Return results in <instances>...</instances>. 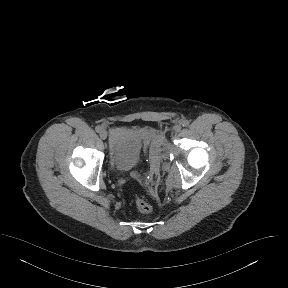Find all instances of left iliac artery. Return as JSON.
<instances>
[{
  "label": "left iliac artery",
  "instance_id": "obj_1",
  "mask_svg": "<svg viewBox=\"0 0 288 288\" xmlns=\"http://www.w3.org/2000/svg\"><path fill=\"white\" fill-rule=\"evenodd\" d=\"M181 124H182L183 127H187L190 124V121L189 120H183L181 122Z\"/></svg>",
  "mask_w": 288,
  "mask_h": 288
}]
</instances>
